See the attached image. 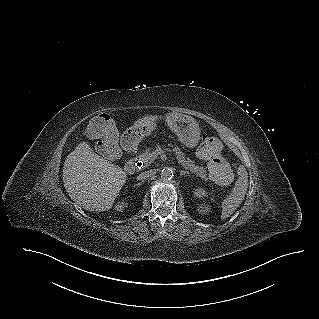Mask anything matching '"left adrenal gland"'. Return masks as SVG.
Wrapping results in <instances>:
<instances>
[{
	"mask_svg": "<svg viewBox=\"0 0 319 319\" xmlns=\"http://www.w3.org/2000/svg\"><path fill=\"white\" fill-rule=\"evenodd\" d=\"M183 175H189V172L188 171H180V176H183Z\"/></svg>",
	"mask_w": 319,
	"mask_h": 319,
	"instance_id": "a2214340",
	"label": "left adrenal gland"
}]
</instances>
